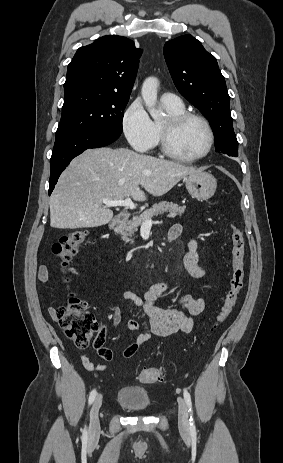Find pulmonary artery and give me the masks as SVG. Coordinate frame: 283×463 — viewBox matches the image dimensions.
Returning <instances> with one entry per match:
<instances>
[{"label":"pulmonary artery","instance_id":"1","mask_svg":"<svg viewBox=\"0 0 283 463\" xmlns=\"http://www.w3.org/2000/svg\"><path fill=\"white\" fill-rule=\"evenodd\" d=\"M161 101L169 105H179L181 103V100L178 98V96L171 92L163 93L161 96Z\"/></svg>","mask_w":283,"mask_h":463}]
</instances>
